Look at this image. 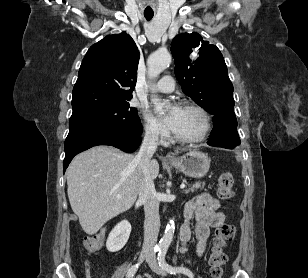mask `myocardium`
<instances>
[{
  "instance_id": "f54148a6",
  "label": "myocardium",
  "mask_w": 308,
  "mask_h": 278,
  "mask_svg": "<svg viewBox=\"0 0 308 278\" xmlns=\"http://www.w3.org/2000/svg\"><path fill=\"white\" fill-rule=\"evenodd\" d=\"M183 109L193 110L197 112L203 120V128L198 135L191 137L181 136L174 133L175 140L181 143H197L203 141L208 136L212 127L210 114L203 107L194 103L184 104Z\"/></svg>"
}]
</instances>
